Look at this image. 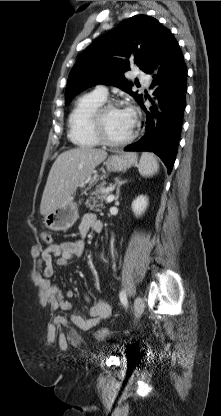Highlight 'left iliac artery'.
<instances>
[{
    "instance_id": "obj_1",
    "label": "left iliac artery",
    "mask_w": 221,
    "mask_h": 416,
    "mask_svg": "<svg viewBox=\"0 0 221 416\" xmlns=\"http://www.w3.org/2000/svg\"><path fill=\"white\" fill-rule=\"evenodd\" d=\"M119 297H120V301H121V303H122V304L126 307V306H127V303H128V301H127V296H126V292H125L124 290H122V291L120 292Z\"/></svg>"
}]
</instances>
